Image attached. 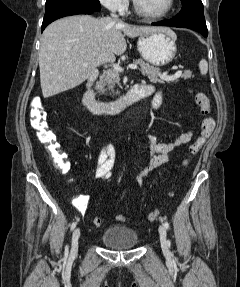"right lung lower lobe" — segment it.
<instances>
[{
	"label": "right lung lower lobe",
	"instance_id": "1",
	"mask_svg": "<svg viewBox=\"0 0 240 287\" xmlns=\"http://www.w3.org/2000/svg\"><path fill=\"white\" fill-rule=\"evenodd\" d=\"M41 30L56 19L77 15L92 14L101 9L98 0H47Z\"/></svg>",
	"mask_w": 240,
	"mask_h": 287
}]
</instances>
